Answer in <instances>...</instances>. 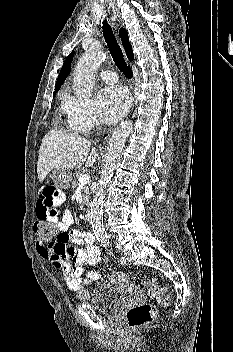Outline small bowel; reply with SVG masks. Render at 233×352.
Returning <instances> with one entry per match:
<instances>
[{
  "label": "small bowel",
  "mask_w": 233,
  "mask_h": 352,
  "mask_svg": "<svg viewBox=\"0 0 233 352\" xmlns=\"http://www.w3.org/2000/svg\"><path fill=\"white\" fill-rule=\"evenodd\" d=\"M64 201L65 194L56 187L47 185L41 188L36 208L37 219L50 221L57 228L58 235L46 242L37 239L36 248L44 261L62 273L67 288L76 291L101 278L98 270H89L82 278L83 266H95L103 259L93 234L71 229L72 213L66 208L58 209Z\"/></svg>",
  "instance_id": "small-bowel-1"
}]
</instances>
